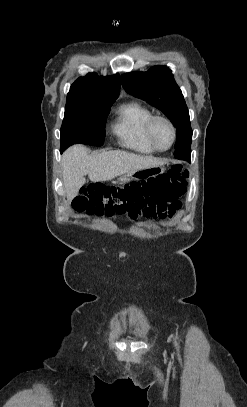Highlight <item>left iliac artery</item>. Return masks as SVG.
<instances>
[{"instance_id":"1","label":"left iliac artery","mask_w":247,"mask_h":407,"mask_svg":"<svg viewBox=\"0 0 247 407\" xmlns=\"http://www.w3.org/2000/svg\"><path fill=\"white\" fill-rule=\"evenodd\" d=\"M175 345L178 346L177 342L175 341Z\"/></svg>"}]
</instances>
